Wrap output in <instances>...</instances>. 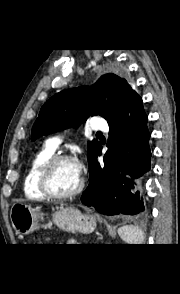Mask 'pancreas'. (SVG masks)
Masks as SVG:
<instances>
[{
  "instance_id": "pancreas-1",
  "label": "pancreas",
  "mask_w": 180,
  "mask_h": 294,
  "mask_svg": "<svg viewBox=\"0 0 180 294\" xmlns=\"http://www.w3.org/2000/svg\"><path fill=\"white\" fill-rule=\"evenodd\" d=\"M71 243H72V244H75V242H70V241L68 242V244H71Z\"/></svg>"
}]
</instances>
